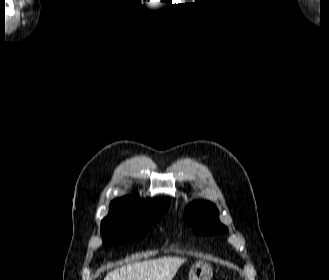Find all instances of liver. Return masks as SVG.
Instances as JSON below:
<instances>
[{
    "label": "liver",
    "instance_id": "6515ba94",
    "mask_svg": "<svg viewBox=\"0 0 329 280\" xmlns=\"http://www.w3.org/2000/svg\"><path fill=\"white\" fill-rule=\"evenodd\" d=\"M185 258L163 257L130 262L110 271L104 280H172Z\"/></svg>",
    "mask_w": 329,
    "mask_h": 280
}]
</instances>
